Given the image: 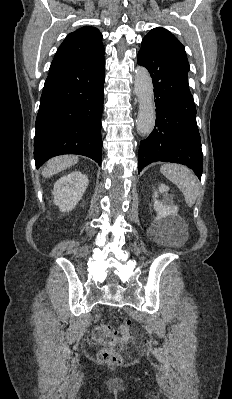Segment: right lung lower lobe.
Returning a JSON list of instances; mask_svg holds the SVG:
<instances>
[{
	"mask_svg": "<svg viewBox=\"0 0 232 399\" xmlns=\"http://www.w3.org/2000/svg\"><path fill=\"white\" fill-rule=\"evenodd\" d=\"M104 68V54L52 61L35 124L37 168L61 154H80L101 164Z\"/></svg>",
	"mask_w": 232,
	"mask_h": 399,
	"instance_id": "right-lung-lower-lobe-1",
	"label": "right lung lower lobe"
}]
</instances>
